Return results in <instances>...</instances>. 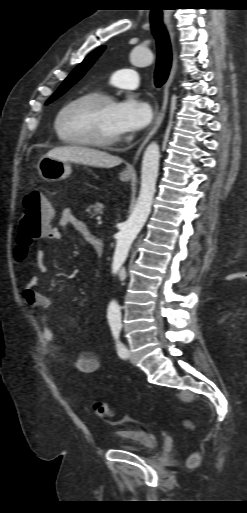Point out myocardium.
<instances>
[{
  "label": "myocardium",
  "mask_w": 247,
  "mask_h": 513,
  "mask_svg": "<svg viewBox=\"0 0 247 513\" xmlns=\"http://www.w3.org/2000/svg\"><path fill=\"white\" fill-rule=\"evenodd\" d=\"M82 103H92V104H108V103H115V100L112 96L102 94V93H87L83 94L81 96H78L74 100L70 101L66 105H64L60 111L58 112L56 119H55V129L58 133V135L62 138L67 139L69 143L77 144V145H84V146H94V147H100V148H109L117 145L121 138H114L109 140H98V139H91V138H68L64 136L62 130H61V120L64 116V114L72 107L78 104Z\"/></svg>",
  "instance_id": "myocardium-1"
}]
</instances>
